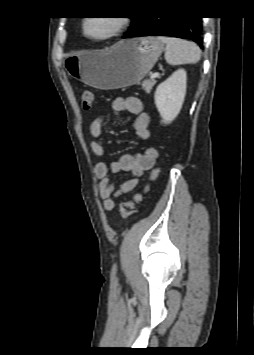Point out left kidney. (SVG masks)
<instances>
[{"label": "left kidney", "mask_w": 254, "mask_h": 355, "mask_svg": "<svg viewBox=\"0 0 254 355\" xmlns=\"http://www.w3.org/2000/svg\"><path fill=\"white\" fill-rule=\"evenodd\" d=\"M187 75L178 69L155 91V104L164 124L171 123L179 114L186 94Z\"/></svg>", "instance_id": "1"}]
</instances>
